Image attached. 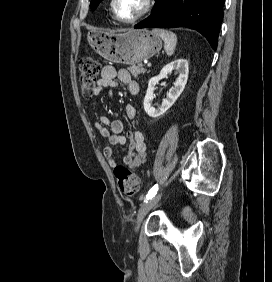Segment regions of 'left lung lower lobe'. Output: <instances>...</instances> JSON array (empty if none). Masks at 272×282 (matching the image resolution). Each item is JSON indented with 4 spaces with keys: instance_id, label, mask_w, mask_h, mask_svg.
<instances>
[{
    "instance_id": "obj_1",
    "label": "left lung lower lobe",
    "mask_w": 272,
    "mask_h": 282,
    "mask_svg": "<svg viewBox=\"0 0 272 282\" xmlns=\"http://www.w3.org/2000/svg\"><path fill=\"white\" fill-rule=\"evenodd\" d=\"M225 0H155L153 13L134 28L188 27L200 32L215 50Z\"/></svg>"
}]
</instances>
